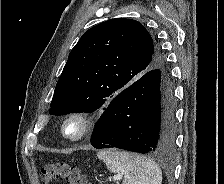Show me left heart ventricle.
<instances>
[{
    "label": "left heart ventricle",
    "instance_id": "obj_1",
    "mask_svg": "<svg viewBox=\"0 0 224 184\" xmlns=\"http://www.w3.org/2000/svg\"><path fill=\"white\" fill-rule=\"evenodd\" d=\"M67 132L71 135L75 134L77 132V126L76 124L72 123L68 126Z\"/></svg>",
    "mask_w": 224,
    "mask_h": 184
}]
</instances>
